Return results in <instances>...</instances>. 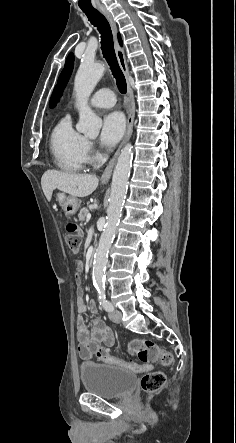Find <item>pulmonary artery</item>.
Returning a JSON list of instances; mask_svg holds the SVG:
<instances>
[{"label": "pulmonary artery", "mask_w": 236, "mask_h": 443, "mask_svg": "<svg viewBox=\"0 0 236 443\" xmlns=\"http://www.w3.org/2000/svg\"><path fill=\"white\" fill-rule=\"evenodd\" d=\"M90 103L95 107L109 108L116 103V97L110 89H100L93 94Z\"/></svg>", "instance_id": "obj_1"}]
</instances>
